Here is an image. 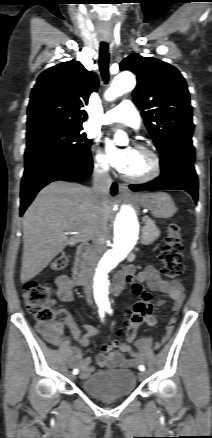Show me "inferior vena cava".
Listing matches in <instances>:
<instances>
[{
  "label": "inferior vena cava",
  "mask_w": 212,
  "mask_h": 438,
  "mask_svg": "<svg viewBox=\"0 0 212 438\" xmlns=\"http://www.w3.org/2000/svg\"><path fill=\"white\" fill-rule=\"evenodd\" d=\"M112 180L108 173V169L96 164L93 171V194L94 198L103 202L109 195V189L111 187ZM107 231L97 230L92 237V248L87 258L86 271H87V284L85 292L88 297V302L91 304V285L90 281L96 269L99 259L101 258L105 250V240Z\"/></svg>",
  "instance_id": "602c4592"
}]
</instances>
